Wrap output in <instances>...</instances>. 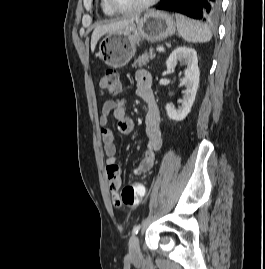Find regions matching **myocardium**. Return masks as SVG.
I'll return each instance as SVG.
<instances>
[{
  "label": "myocardium",
  "mask_w": 265,
  "mask_h": 269,
  "mask_svg": "<svg viewBox=\"0 0 265 269\" xmlns=\"http://www.w3.org/2000/svg\"><path fill=\"white\" fill-rule=\"evenodd\" d=\"M159 0H148L146 2H144L143 4H140L138 6L135 7H131V8H120L116 5L114 0H108L110 7L117 13H135V12H141L144 11L148 8H150L151 6H153L154 4H156Z\"/></svg>",
  "instance_id": "myocardium-1"
}]
</instances>
